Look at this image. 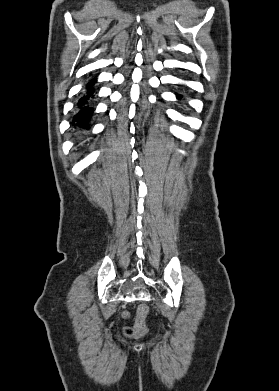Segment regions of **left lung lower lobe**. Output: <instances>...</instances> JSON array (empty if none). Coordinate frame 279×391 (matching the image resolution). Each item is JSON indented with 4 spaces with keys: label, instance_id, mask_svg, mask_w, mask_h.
Returning <instances> with one entry per match:
<instances>
[{
    "label": "left lung lower lobe",
    "instance_id": "obj_1",
    "mask_svg": "<svg viewBox=\"0 0 279 391\" xmlns=\"http://www.w3.org/2000/svg\"><path fill=\"white\" fill-rule=\"evenodd\" d=\"M180 97H182L181 95L177 94V98L179 99Z\"/></svg>",
    "mask_w": 279,
    "mask_h": 391
}]
</instances>
